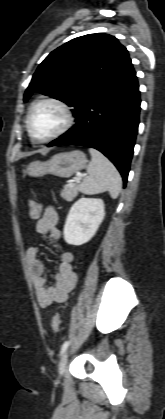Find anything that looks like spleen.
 Instances as JSON below:
<instances>
[{
  "instance_id": "spleen-1",
  "label": "spleen",
  "mask_w": 165,
  "mask_h": 419,
  "mask_svg": "<svg viewBox=\"0 0 165 419\" xmlns=\"http://www.w3.org/2000/svg\"><path fill=\"white\" fill-rule=\"evenodd\" d=\"M92 160L88 165V175L80 184V191L87 195L109 191L115 199L121 192L122 179L115 166L98 150L89 148Z\"/></svg>"
}]
</instances>
